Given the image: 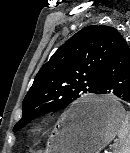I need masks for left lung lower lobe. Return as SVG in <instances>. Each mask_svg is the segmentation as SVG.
Wrapping results in <instances>:
<instances>
[{
  "label": "left lung lower lobe",
  "mask_w": 130,
  "mask_h": 153,
  "mask_svg": "<svg viewBox=\"0 0 130 153\" xmlns=\"http://www.w3.org/2000/svg\"><path fill=\"white\" fill-rule=\"evenodd\" d=\"M97 94H114L130 103V49L124 38L121 39L103 70ZM91 112L90 109L80 108L75 111V117L82 119Z\"/></svg>",
  "instance_id": "obj_1"
}]
</instances>
